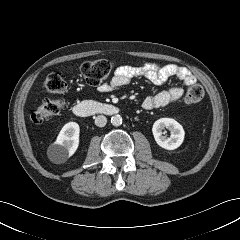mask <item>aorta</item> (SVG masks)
Returning <instances> with one entry per match:
<instances>
[{
  "instance_id": "obj_1",
  "label": "aorta",
  "mask_w": 240,
  "mask_h": 240,
  "mask_svg": "<svg viewBox=\"0 0 240 240\" xmlns=\"http://www.w3.org/2000/svg\"><path fill=\"white\" fill-rule=\"evenodd\" d=\"M111 123L113 126H120L122 124V117L120 115L112 116Z\"/></svg>"
}]
</instances>
